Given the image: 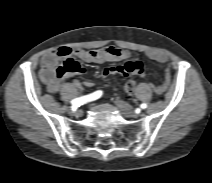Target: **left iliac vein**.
<instances>
[{
    "label": "left iliac vein",
    "mask_w": 212,
    "mask_h": 183,
    "mask_svg": "<svg viewBox=\"0 0 212 183\" xmlns=\"http://www.w3.org/2000/svg\"><path fill=\"white\" fill-rule=\"evenodd\" d=\"M115 104L118 106V108L127 116L129 117H135L136 116V112H134L132 110V108L130 107L129 104H127L126 102L116 99L115 100Z\"/></svg>",
    "instance_id": "4c4485c4"
}]
</instances>
